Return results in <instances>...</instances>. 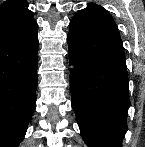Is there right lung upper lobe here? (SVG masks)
Here are the masks:
<instances>
[{"label": "right lung upper lobe", "instance_id": "right-lung-upper-lobe-1", "mask_svg": "<svg viewBox=\"0 0 145 147\" xmlns=\"http://www.w3.org/2000/svg\"><path fill=\"white\" fill-rule=\"evenodd\" d=\"M27 7L25 0H7L0 5V40L36 24Z\"/></svg>", "mask_w": 145, "mask_h": 147}]
</instances>
